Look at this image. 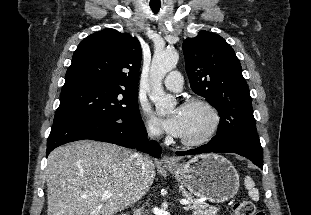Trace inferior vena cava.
<instances>
[{
	"label": "inferior vena cava",
	"instance_id": "602c4592",
	"mask_svg": "<svg viewBox=\"0 0 311 215\" xmlns=\"http://www.w3.org/2000/svg\"><path fill=\"white\" fill-rule=\"evenodd\" d=\"M159 135V130H157L156 128L154 127H149L148 128V136L153 138L154 136H157ZM131 160L134 162V164L141 168L142 170H144L145 168V165L147 163V159L145 158V156H143L142 154L140 153H134L132 154L131 156Z\"/></svg>",
	"mask_w": 311,
	"mask_h": 215
}]
</instances>
